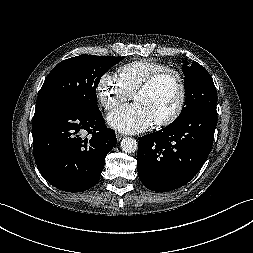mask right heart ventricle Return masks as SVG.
<instances>
[{
    "label": "right heart ventricle",
    "instance_id": "obj_1",
    "mask_svg": "<svg viewBox=\"0 0 253 253\" xmlns=\"http://www.w3.org/2000/svg\"><path fill=\"white\" fill-rule=\"evenodd\" d=\"M166 69L168 67L161 62L151 59H139L120 66L118 77L133 94L148 77Z\"/></svg>",
    "mask_w": 253,
    "mask_h": 253
}]
</instances>
